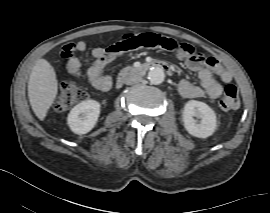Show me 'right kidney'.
<instances>
[{"label": "right kidney", "mask_w": 270, "mask_h": 213, "mask_svg": "<svg viewBox=\"0 0 270 213\" xmlns=\"http://www.w3.org/2000/svg\"><path fill=\"white\" fill-rule=\"evenodd\" d=\"M100 115V104L95 100H85L77 104L67 117L72 132L78 135L91 131Z\"/></svg>", "instance_id": "1"}]
</instances>
